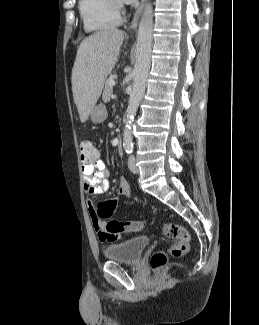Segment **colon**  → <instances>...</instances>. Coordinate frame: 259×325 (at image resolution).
Returning <instances> with one entry per match:
<instances>
[{
  "label": "colon",
  "mask_w": 259,
  "mask_h": 325,
  "mask_svg": "<svg viewBox=\"0 0 259 325\" xmlns=\"http://www.w3.org/2000/svg\"><path fill=\"white\" fill-rule=\"evenodd\" d=\"M79 156L82 163H90L97 156V149L89 140H84L79 145ZM117 208L114 200L103 201L98 205L96 215L100 219H108ZM143 223L140 221L110 220L105 224V229L110 234L122 232H137L142 230ZM164 234L172 239L174 243L166 250L155 252L151 257V266L157 269L166 264L168 255L180 257L185 255L190 248V235L188 231L179 224L166 223L163 227Z\"/></svg>",
  "instance_id": "obj_1"
}]
</instances>
